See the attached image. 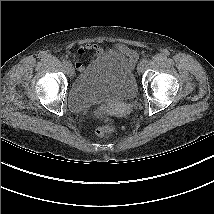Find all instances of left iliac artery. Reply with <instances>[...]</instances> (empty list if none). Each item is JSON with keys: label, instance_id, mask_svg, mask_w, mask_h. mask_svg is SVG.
<instances>
[{"label": "left iliac artery", "instance_id": "left-iliac-artery-1", "mask_svg": "<svg viewBox=\"0 0 214 214\" xmlns=\"http://www.w3.org/2000/svg\"><path fill=\"white\" fill-rule=\"evenodd\" d=\"M142 62H143L144 64H146V63H148V59H147V58H144V59L142 60Z\"/></svg>", "mask_w": 214, "mask_h": 214}]
</instances>
